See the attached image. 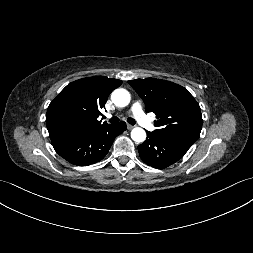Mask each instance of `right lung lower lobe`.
I'll return each instance as SVG.
<instances>
[{"instance_id": "obj_1", "label": "right lung lower lobe", "mask_w": 253, "mask_h": 253, "mask_svg": "<svg viewBox=\"0 0 253 253\" xmlns=\"http://www.w3.org/2000/svg\"><path fill=\"white\" fill-rule=\"evenodd\" d=\"M126 130V123L110 125L54 145L55 151L71 164L86 166L101 161L116 136Z\"/></svg>"}]
</instances>
